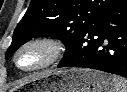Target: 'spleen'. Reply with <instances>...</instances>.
<instances>
[{
	"mask_svg": "<svg viewBox=\"0 0 127 92\" xmlns=\"http://www.w3.org/2000/svg\"><path fill=\"white\" fill-rule=\"evenodd\" d=\"M112 81H113V86H114L113 92H127V80L126 79L122 77H118V76H113Z\"/></svg>",
	"mask_w": 127,
	"mask_h": 92,
	"instance_id": "3e777b00",
	"label": "spleen"
}]
</instances>
